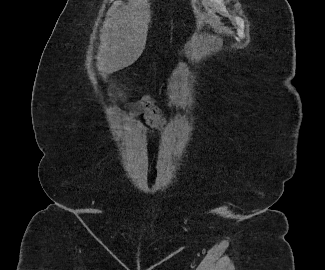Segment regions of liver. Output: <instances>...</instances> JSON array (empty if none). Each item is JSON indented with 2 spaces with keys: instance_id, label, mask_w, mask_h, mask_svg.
I'll return each instance as SVG.
<instances>
[{
  "instance_id": "6515ba94",
  "label": "liver",
  "mask_w": 325,
  "mask_h": 270,
  "mask_svg": "<svg viewBox=\"0 0 325 270\" xmlns=\"http://www.w3.org/2000/svg\"><path fill=\"white\" fill-rule=\"evenodd\" d=\"M150 20L148 0H129L109 12L101 30L97 56L103 74L122 69L140 57L145 49Z\"/></svg>"
}]
</instances>
